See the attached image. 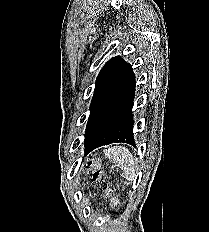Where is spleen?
Segmentation results:
<instances>
[{"label":"spleen","instance_id":"1","mask_svg":"<svg viewBox=\"0 0 209 232\" xmlns=\"http://www.w3.org/2000/svg\"><path fill=\"white\" fill-rule=\"evenodd\" d=\"M108 159L123 171L122 177L131 182L136 176L135 160L130 151L125 147H111L104 150Z\"/></svg>","mask_w":209,"mask_h":232}]
</instances>
